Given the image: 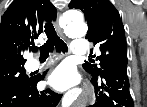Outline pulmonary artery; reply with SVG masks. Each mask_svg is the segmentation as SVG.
Returning <instances> with one entry per match:
<instances>
[{
  "label": "pulmonary artery",
  "instance_id": "1",
  "mask_svg": "<svg viewBox=\"0 0 147 107\" xmlns=\"http://www.w3.org/2000/svg\"><path fill=\"white\" fill-rule=\"evenodd\" d=\"M72 53L84 55L87 54L89 51L88 43L83 39H76L73 41L72 46ZM39 67V62L36 59H30L27 63V68L30 70H34Z\"/></svg>",
  "mask_w": 147,
  "mask_h": 107
}]
</instances>
